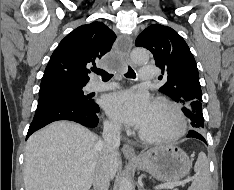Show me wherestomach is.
Returning <instances> with one entry per match:
<instances>
[{
  "label": "stomach",
  "mask_w": 234,
  "mask_h": 190,
  "mask_svg": "<svg viewBox=\"0 0 234 190\" xmlns=\"http://www.w3.org/2000/svg\"><path fill=\"white\" fill-rule=\"evenodd\" d=\"M135 165L159 181L175 182L189 173L191 161L181 148L166 144L141 153Z\"/></svg>",
  "instance_id": "stomach-1"
}]
</instances>
